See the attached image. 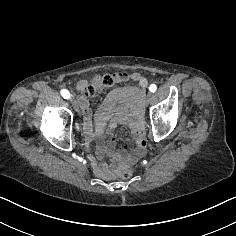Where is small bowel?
I'll return each mask as SVG.
<instances>
[{"label":"small bowel","mask_w":236,"mask_h":236,"mask_svg":"<svg viewBox=\"0 0 236 236\" xmlns=\"http://www.w3.org/2000/svg\"><path fill=\"white\" fill-rule=\"evenodd\" d=\"M115 79L119 82L134 81L137 85L116 88L108 94L94 114L95 129L92 125L93 112L88 99L83 94L79 98L87 148L90 142L97 141L96 157L91 156L89 160L94 172L102 178H110L119 169L135 163L146 151L143 105L147 81L137 72L116 73ZM86 84L85 80L79 81L78 90L82 91ZM119 125L128 127L133 135L136 147L132 152H128L126 147L115 151V139L107 137ZM107 155L111 156L110 164L99 162Z\"/></svg>","instance_id":"1"}]
</instances>
